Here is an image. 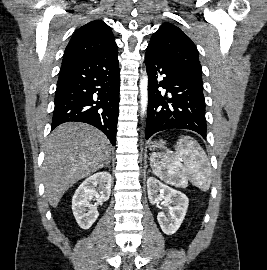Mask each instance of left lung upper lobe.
Wrapping results in <instances>:
<instances>
[{
  "instance_id": "obj_1",
  "label": "left lung upper lobe",
  "mask_w": 267,
  "mask_h": 270,
  "mask_svg": "<svg viewBox=\"0 0 267 270\" xmlns=\"http://www.w3.org/2000/svg\"><path fill=\"white\" fill-rule=\"evenodd\" d=\"M147 48L185 74L202 82V67L197 48L177 26L163 23L152 35Z\"/></svg>"
}]
</instances>
